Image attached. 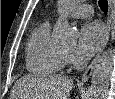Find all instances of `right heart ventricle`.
<instances>
[{"label":"right heart ventricle","instance_id":"1","mask_svg":"<svg viewBox=\"0 0 115 99\" xmlns=\"http://www.w3.org/2000/svg\"><path fill=\"white\" fill-rule=\"evenodd\" d=\"M66 63V55L51 44L50 25L43 23L31 33L26 46V67L34 75L59 73Z\"/></svg>","mask_w":115,"mask_h":99}]
</instances>
